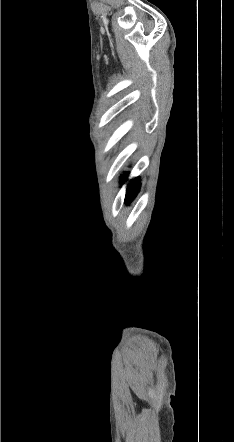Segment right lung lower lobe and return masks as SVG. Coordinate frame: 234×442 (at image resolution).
Here are the masks:
<instances>
[{"label": "right lung lower lobe", "instance_id": "98d812e1", "mask_svg": "<svg viewBox=\"0 0 234 442\" xmlns=\"http://www.w3.org/2000/svg\"><path fill=\"white\" fill-rule=\"evenodd\" d=\"M126 178H127V175L125 174L122 178V182H125ZM139 188H140L139 178H135L128 185L126 199H125L126 203H129L137 195Z\"/></svg>", "mask_w": 234, "mask_h": 442}]
</instances>
